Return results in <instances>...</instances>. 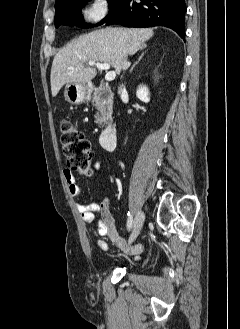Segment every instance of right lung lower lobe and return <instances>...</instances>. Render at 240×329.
<instances>
[{
    "label": "right lung lower lobe",
    "mask_w": 240,
    "mask_h": 329,
    "mask_svg": "<svg viewBox=\"0 0 240 329\" xmlns=\"http://www.w3.org/2000/svg\"><path fill=\"white\" fill-rule=\"evenodd\" d=\"M185 0H124L105 21L125 27L165 26L185 40Z\"/></svg>",
    "instance_id": "obj_1"
}]
</instances>
